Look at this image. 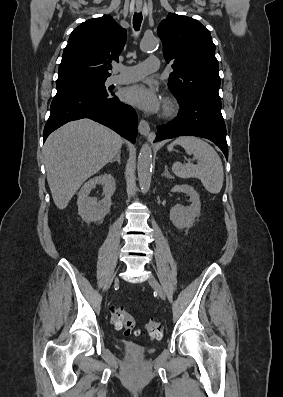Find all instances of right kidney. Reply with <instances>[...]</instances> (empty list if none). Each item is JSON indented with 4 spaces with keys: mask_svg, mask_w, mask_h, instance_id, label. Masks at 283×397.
Segmentation results:
<instances>
[{
    "mask_svg": "<svg viewBox=\"0 0 283 397\" xmlns=\"http://www.w3.org/2000/svg\"><path fill=\"white\" fill-rule=\"evenodd\" d=\"M96 184H102L104 198L97 201L90 198L89 194ZM116 189V182L111 174L96 176L88 180L78 193V212L86 223L99 222L110 212L111 197Z\"/></svg>",
    "mask_w": 283,
    "mask_h": 397,
    "instance_id": "right-kidney-1",
    "label": "right kidney"
}]
</instances>
